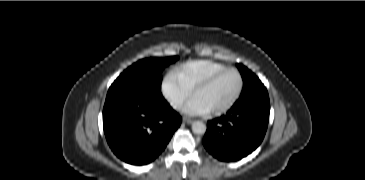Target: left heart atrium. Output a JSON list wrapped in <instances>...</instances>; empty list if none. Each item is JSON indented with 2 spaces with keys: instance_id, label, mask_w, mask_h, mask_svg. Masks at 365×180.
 <instances>
[{
  "instance_id": "1",
  "label": "left heart atrium",
  "mask_w": 365,
  "mask_h": 180,
  "mask_svg": "<svg viewBox=\"0 0 365 180\" xmlns=\"http://www.w3.org/2000/svg\"><path fill=\"white\" fill-rule=\"evenodd\" d=\"M185 112L192 115H202L208 112V110L201 105L197 100L192 99L185 107Z\"/></svg>"
}]
</instances>
